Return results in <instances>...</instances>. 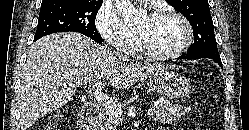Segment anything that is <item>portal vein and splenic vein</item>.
Wrapping results in <instances>:
<instances>
[{"label": "portal vein and splenic vein", "instance_id": "18ae733b", "mask_svg": "<svg viewBox=\"0 0 249 130\" xmlns=\"http://www.w3.org/2000/svg\"><path fill=\"white\" fill-rule=\"evenodd\" d=\"M95 86V91L93 92L94 97L100 103L102 106L105 107L106 111L109 112L110 114L116 115L118 117L121 116L122 114V108L119 104H117L115 101L112 99H109L105 94H103L101 90V83L96 82L94 83ZM156 112V108H150L148 110V115H153Z\"/></svg>", "mask_w": 249, "mask_h": 130}]
</instances>
